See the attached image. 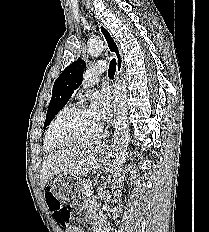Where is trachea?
<instances>
[{"mask_svg": "<svg viewBox=\"0 0 209 232\" xmlns=\"http://www.w3.org/2000/svg\"><path fill=\"white\" fill-rule=\"evenodd\" d=\"M116 59L113 58L110 61V65H109V70H108V76L109 78H114L115 72H116Z\"/></svg>", "mask_w": 209, "mask_h": 232, "instance_id": "3493384b", "label": "trachea"}]
</instances>
